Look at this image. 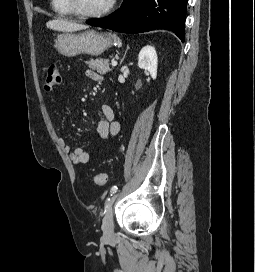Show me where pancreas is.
Instances as JSON below:
<instances>
[{
	"label": "pancreas",
	"instance_id": "cf45deb5",
	"mask_svg": "<svg viewBox=\"0 0 255 272\" xmlns=\"http://www.w3.org/2000/svg\"><path fill=\"white\" fill-rule=\"evenodd\" d=\"M86 64L89 68L96 70L102 75L112 72V69L109 67L110 64L108 59H90L89 61H86Z\"/></svg>",
	"mask_w": 255,
	"mask_h": 272
}]
</instances>
